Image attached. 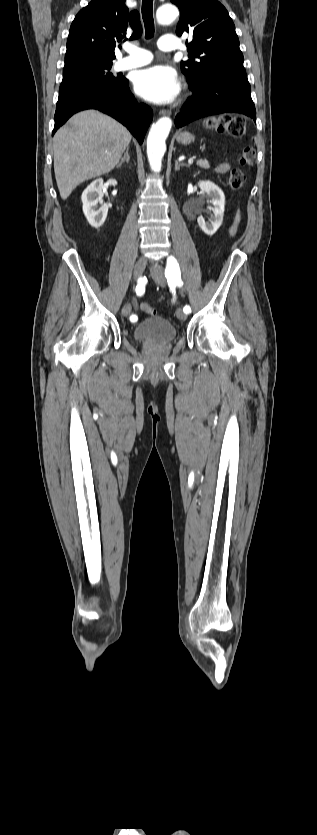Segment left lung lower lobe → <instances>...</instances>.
Masks as SVG:
<instances>
[{
  "label": "left lung lower lobe",
  "instance_id": "left-lung-lower-lobe-1",
  "mask_svg": "<svg viewBox=\"0 0 317 835\" xmlns=\"http://www.w3.org/2000/svg\"><path fill=\"white\" fill-rule=\"evenodd\" d=\"M189 87L192 96L176 116V127L220 113H239L256 122L251 87L244 67L213 66L200 82L189 83Z\"/></svg>",
  "mask_w": 317,
  "mask_h": 835
}]
</instances>
